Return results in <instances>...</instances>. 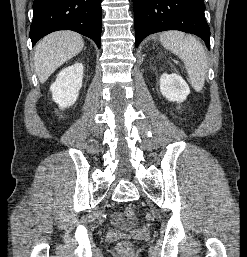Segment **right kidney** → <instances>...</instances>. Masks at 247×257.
<instances>
[{
    "label": "right kidney",
    "instance_id": "ca27d5eb",
    "mask_svg": "<svg viewBox=\"0 0 247 257\" xmlns=\"http://www.w3.org/2000/svg\"><path fill=\"white\" fill-rule=\"evenodd\" d=\"M83 64L75 63L62 69L51 85L52 99L61 109L73 105L82 87Z\"/></svg>",
    "mask_w": 247,
    "mask_h": 257
}]
</instances>
